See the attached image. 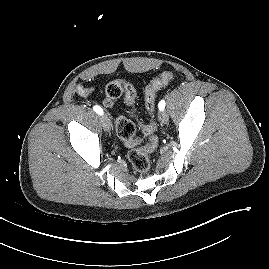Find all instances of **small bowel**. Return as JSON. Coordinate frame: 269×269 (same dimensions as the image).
Masks as SVG:
<instances>
[{"instance_id": "1", "label": "small bowel", "mask_w": 269, "mask_h": 269, "mask_svg": "<svg viewBox=\"0 0 269 269\" xmlns=\"http://www.w3.org/2000/svg\"><path fill=\"white\" fill-rule=\"evenodd\" d=\"M94 91L91 87H85L83 85H77L76 92L80 96H88Z\"/></svg>"}]
</instances>
